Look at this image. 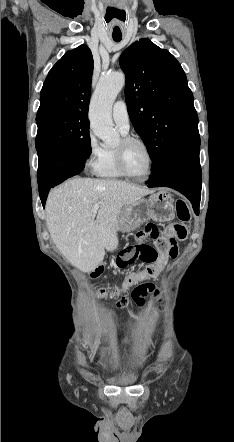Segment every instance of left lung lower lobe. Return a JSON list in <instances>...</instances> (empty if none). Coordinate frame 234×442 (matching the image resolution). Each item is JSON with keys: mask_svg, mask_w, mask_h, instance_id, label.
<instances>
[{"mask_svg": "<svg viewBox=\"0 0 234 442\" xmlns=\"http://www.w3.org/2000/svg\"><path fill=\"white\" fill-rule=\"evenodd\" d=\"M200 136L195 133L183 140L170 161L157 175L150 176L149 187H170L184 194L196 212L201 198Z\"/></svg>", "mask_w": 234, "mask_h": 442, "instance_id": "1", "label": "left lung lower lobe"}]
</instances>
